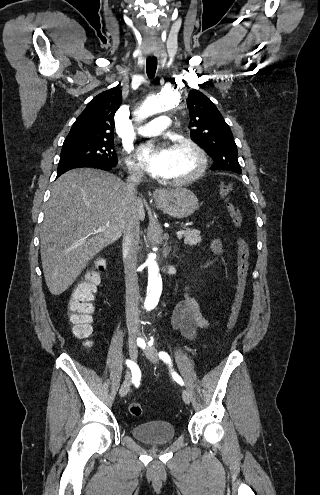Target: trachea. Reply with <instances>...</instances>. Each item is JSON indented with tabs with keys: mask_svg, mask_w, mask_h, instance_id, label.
<instances>
[{
	"mask_svg": "<svg viewBox=\"0 0 320 495\" xmlns=\"http://www.w3.org/2000/svg\"><path fill=\"white\" fill-rule=\"evenodd\" d=\"M157 69V61L156 60H147L146 62V72L148 77L151 79L154 77Z\"/></svg>",
	"mask_w": 320,
	"mask_h": 495,
	"instance_id": "1",
	"label": "trachea"
}]
</instances>
